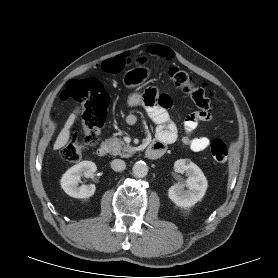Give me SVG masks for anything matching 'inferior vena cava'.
Listing matches in <instances>:
<instances>
[{"instance_id": "inferior-vena-cava-1", "label": "inferior vena cava", "mask_w": 278, "mask_h": 278, "mask_svg": "<svg viewBox=\"0 0 278 278\" xmlns=\"http://www.w3.org/2000/svg\"><path fill=\"white\" fill-rule=\"evenodd\" d=\"M111 168L116 172H120L126 168V164L121 159H115L111 162Z\"/></svg>"}]
</instances>
